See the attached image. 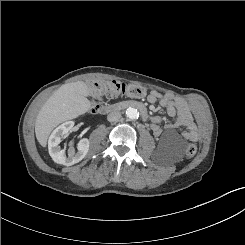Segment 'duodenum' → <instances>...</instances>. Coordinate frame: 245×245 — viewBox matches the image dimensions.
Masks as SVG:
<instances>
[{
  "label": "duodenum",
  "instance_id": "duodenum-1",
  "mask_svg": "<svg viewBox=\"0 0 245 245\" xmlns=\"http://www.w3.org/2000/svg\"><path fill=\"white\" fill-rule=\"evenodd\" d=\"M127 108H135L141 113L144 119L149 118L147 108L138 101H124L116 104H104L101 106L100 111L102 113H110L113 111L123 110Z\"/></svg>",
  "mask_w": 245,
  "mask_h": 245
}]
</instances>
